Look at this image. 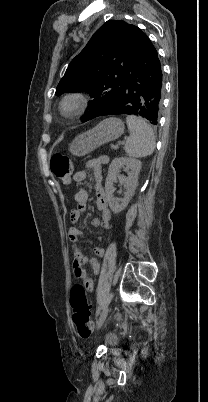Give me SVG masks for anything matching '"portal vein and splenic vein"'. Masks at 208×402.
<instances>
[{"mask_svg":"<svg viewBox=\"0 0 208 402\" xmlns=\"http://www.w3.org/2000/svg\"><path fill=\"white\" fill-rule=\"evenodd\" d=\"M120 144H121V142H120ZM112 148H113V149H116V148H117V145H116V144H113V145H112Z\"/></svg>","mask_w":208,"mask_h":402,"instance_id":"1","label":"portal vein and splenic vein"}]
</instances>
